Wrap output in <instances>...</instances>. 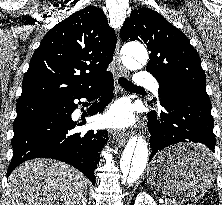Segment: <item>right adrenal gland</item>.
Masks as SVG:
<instances>
[{"label": "right adrenal gland", "mask_w": 222, "mask_h": 205, "mask_svg": "<svg viewBox=\"0 0 222 205\" xmlns=\"http://www.w3.org/2000/svg\"><path fill=\"white\" fill-rule=\"evenodd\" d=\"M83 205H87V198H84Z\"/></svg>", "instance_id": "1"}]
</instances>
